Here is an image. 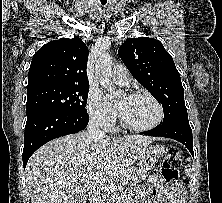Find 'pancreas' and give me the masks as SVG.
<instances>
[{
  "label": "pancreas",
  "mask_w": 222,
  "mask_h": 203,
  "mask_svg": "<svg viewBox=\"0 0 222 203\" xmlns=\"http://www.w3.org/2000/svg\"><path fill=\"white\" fill-rule=\"evenodd\" d=\"M147 174L144 172H140L137 168L131 166L124 170L122 173L121 179H128L131 184H136L145 180ZM117 197V193L115 191H107L102 193L98 198L99 203H111Z\"/></svg>",
  "instance_id": "1"
}]
</instances>
